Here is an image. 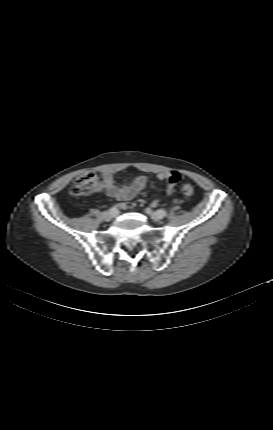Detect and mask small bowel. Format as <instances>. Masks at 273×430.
<instances>
[{
    "label": "small bowel",
    "mask_w": 273,
    "mask_h": 430,
    "mask_svg": "<svg viewBox=\"0 0 273 430\" xmlns=\"http://www.w3.org/2000/svg\"><path fill=\"white\" fill-rule=\"evenodd\" d=\"M159 180H165L169 182L167 187V195L172 196L174 194V186L179 181L180 175L174 171L162 172L157 174ZM148 183L146 176H138L123 185L115 183L112 174L105 172L101 174V182L98 185V191L106 193L108 196L115 198L122 203L119 207L125 209L128 207L126 202L133 199L141 191H143ZM143 202V200H141ZM159 203L158 199H154L151 202L153 207H156Z\"/></svg>",
    "instance_id": "c3829d8e"
}]
</instances>
